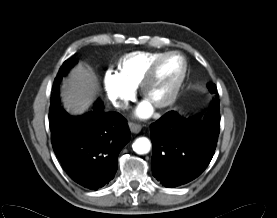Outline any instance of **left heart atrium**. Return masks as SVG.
I'll use <instances>...</instances> for the list:
<instances>
[{
    "label": "left heart atrium",
    "instance_id": "39dd6f15",
    "mask_svg": "<svg viewBox=\"0 0 277 218\" xmlns=\"http://www.w3.org/2000/svg\"><path fill=\"white\" fill-rule=\"evenodd\" d=\"M152 110H153L152 104L148 100H145L137 108L136 114L141 118H146L152 113Z\"/></svg>",
    "mask_w": 277,
    "mask_h": 218
}]
</instances>
